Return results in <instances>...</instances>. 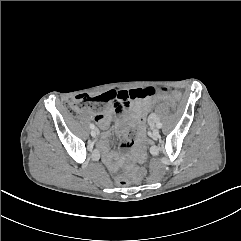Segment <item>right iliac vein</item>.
Returning a JSON list of instances; mask_svg holds the SVG:
<instances>
[{"mask_svg": "<svg viewBox=\"0 0 241 241\" xmlns=\"http://www.w3.org/2000/svg\"><path fill=\"white\" fill-rule=\"evenodd\" d=\"M96 135H98V129L95 128L91 131V136L95 137Z\"/></svg>", "mask_w": 241, "mask_h": 241, "instance_id": "obj_1", "label": "right iliac vein"}]
</instances>
